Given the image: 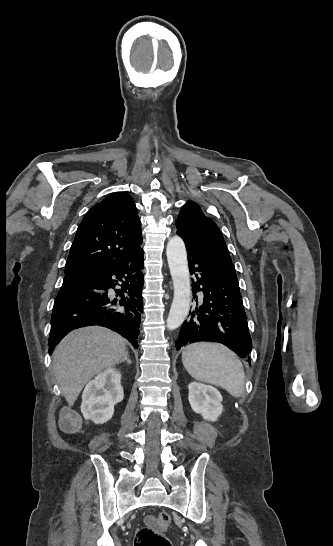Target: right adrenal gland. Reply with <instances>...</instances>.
I'll return each instance as SVG.
<instances>
[{
    "mask_svg": "<svg viewBox=\"0 0 333 546\" xmlns=\"http://www.w3.org/2000/svg\"><path fill=\"white\" fill-rule=\"evenodd\" d=\"M124 361H127L128 364L132 363V361L128 358V351L125 352L124 358L120 360L119 364L124 362Z\"/></svg>",
    "mask_w": 333,
    "mask_h": 546,
    "instance_id": "right-adrenal-gland-1",
    "label": "right adrenal gland"
}]
</instances>
